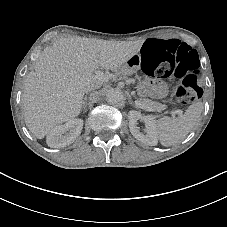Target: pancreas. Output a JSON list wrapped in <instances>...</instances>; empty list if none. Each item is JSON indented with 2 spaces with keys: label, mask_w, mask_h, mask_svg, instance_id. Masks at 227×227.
Segmentation results:
<instances>
[{
  "label": "pancreas",
  "mask_w": 227,
  "mask_h": 227,
  "mask_svg": "<svg viewBox=\"0 0 227 227\" xmlns=\"http://www.w3.org/2000/svg\"><path fill=\"white\" fill-rule=\"evenodd\" d=\"M118 75H130V74H127L123 69H119V71L116 72ZM139 101L140 103L144 104L145 106H148V107H152L154 108L155 110H158V111H161L164 107L162 104L158 103V102H155V101H152L148 98H144V97H140L139 98Z\"/></svg>",
  "instance_id": "cf45deb5"
}]
</instances>
